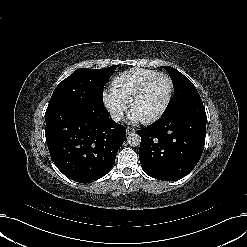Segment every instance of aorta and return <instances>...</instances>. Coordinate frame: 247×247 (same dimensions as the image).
Segmentation results:
<instances>
[{
    "label": "aorta",
    "mask_w": 247,
    "mask_h": 247,
    "mask_svg": "<svg viewBox=\"0 0 247 247\" xmlns=\"http://www.w3.org/2000/svg\"><path fill=\"white\" fill-rule=\"evenodd\" d=\"M127 142L130 146L137 147L141 143V137L137 133H131L127 137Z\"/></svg>",
    "instance_id": "1"
}]
</instances>
